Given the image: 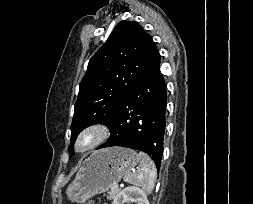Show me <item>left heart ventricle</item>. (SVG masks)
<instances>
[{"instance_id": "obj_1", "label": "left heart ventricle", "mask_w": 253, "mask_h": 204, "mask_svg": "<svg viewBox=\"0 0 253 204\" xmlns=\"http://www.w3.org/2000/svg\"><path fill=\"white\" fill-rule=\"evenodd\" d=\"M89 142V138L85 139L83 142H82V146L87 144Z\"/></svg>"}]
</instances>
